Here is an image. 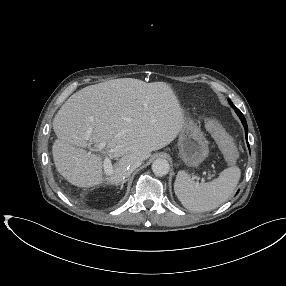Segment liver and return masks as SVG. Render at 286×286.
I'll list each match as a JSON object with an SVG mask.
<instances>
[{"mask_svg": "<svg viewBox=\"0 0 286 286\" xmlns=\"http://www.w3.org/2000/svg\"><path fill=\"white\" fill-rule=\"evenodd\" d=\"M184 122L179 100L166 82L120 78L87 86L70 96L53 119L55 167L74 186L101 184L102 160L83 148L104 142L112 158L122 157L107 178L118 185L128 176L130 160H147L152 151L170 144Z\"/></svg>", "mask_w": 286, "mask_h": 286, "instance_id": "1", "label": "liver"}]
</instances>
